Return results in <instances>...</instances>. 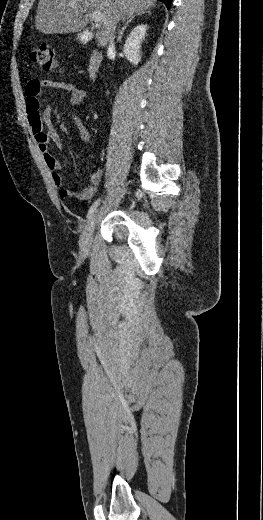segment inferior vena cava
<instances>
[{"label": "inferior vena cava", "mask_w": 263, "mask_h": 520, "mask_svg": "<svg viewBox=\"0 0 263 520\" xmlns=\"http://www.w3.org/2000/svg\"><path fill=\"white\" fill-rule=\"evenodd\" d=\"M109 47H111V48L114 47V37L111 38Z\"/></svg>", "instance_id": "602c4592"}]
</instances>
